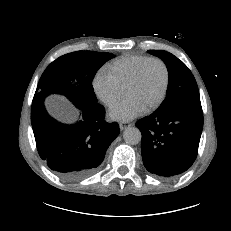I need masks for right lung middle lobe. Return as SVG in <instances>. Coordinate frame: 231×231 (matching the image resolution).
Wrapping results in <instances>:
<instances>
[{"label": "right lung middle lobe", "mask_w": 231, "mask_h": 231, "mask_svg": "<svg viewBox=\"0 0 231 231\" xmlns=\"http://www.w3.org/2000/svg\"><path fill=\"white\" fill-rule=\"evenodd\" d=\"M114 55L106 52L77 51L53 61L42 74L34 98L50 94L67 96L76 106L97 103L92 81L99 68Z\"/></svg>", "instance_id": "obj_1"}]
</instances>
